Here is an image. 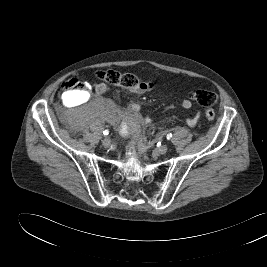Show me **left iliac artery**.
Returning <instances> with one entry per match:
<instances>
[{
    "label": "left iliac artery",
    "mask_w": 267,
    "mask_h": 267,
    "mask_svg": "<svg viewBox=\"0 0 267 267\" xmlns=\"http://www.w3.org/2000/svg\"><path fill=\"white\" fill-rule=\"evenodd\" d=\"M171 137H172V134H171V133L167 134V136H166V138H167L168 140L171 139Z\"/></svg>",
    "instance_id": "left-iliac-artery-1"
}]
</instances>
